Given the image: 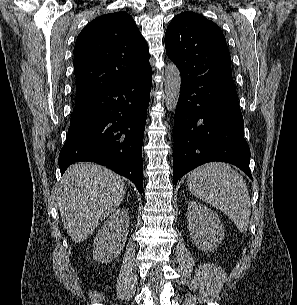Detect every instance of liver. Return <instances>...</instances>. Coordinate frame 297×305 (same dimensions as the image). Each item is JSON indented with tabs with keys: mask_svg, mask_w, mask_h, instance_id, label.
Masks as SVG:
<instances>
[{
	"mask_svg": "<svg viewBox=\"0 0 297 305\" xmlns=\"http://www.w3.org/2000/svg\"><path fill=\"white\" fill-rule=\"evenodd\" d=\"M126 192L118 174L94 163H76L62 177L57 204L67 233L84 241L121 204Z\"/></svg>",
	"mask_w": 297,
	"mask_h": 305,
	"instance_id": "obj_1",
	"label": "liver"
}]
</instances>
